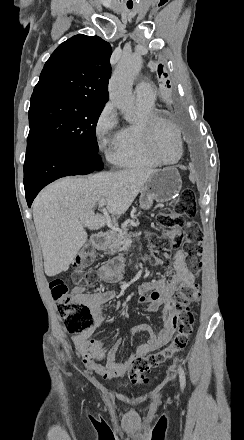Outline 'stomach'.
I'll return each instance as SVG.
<instances>
[{
  "label": "stomach",
  "mask_w": 244,
  "mask_h": 440,
  "mask_svg": "<svg viewBox=\"0 0 244 440\" xmlns=\"http://www.w3.org/2000/svg\"><path fill=\"white\" fill-rule=\"evenodd\" d=\"M182 188L181 176L175 168H163V170H157L155 174H152L148 178L140 196L139 204L143 210H149L154 200L156 202H169L174 200L178 196Z\"/></svg>",
  "instance_id": "obj_1"
}]
</instances>
